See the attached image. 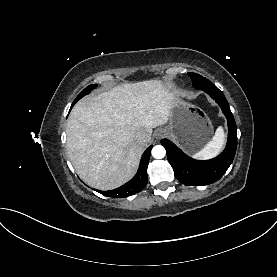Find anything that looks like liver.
<instances>
[{
	"instance_id": "6515ba94",
	"label": "liver",
	"mask_w": 277,
	"mask_h": 277,
	"mask_svg": "<svg viewBox=\"0 0 277 277\" xmlns=\"http://www.w3.org/2000/svg\"><path fill=\"white\" fill-rule=\"evenodd\" d=\"M176 94L160 80L125 83L78 101L67 121V151L89 186L115 189L135 174L152 129L169 120ZM144 131L149 140L135 141Z\"/></svg>"
}]
</instances>
